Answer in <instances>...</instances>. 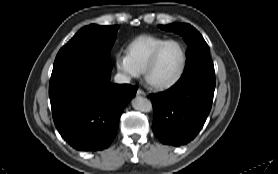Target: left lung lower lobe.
I'll return each mask as SVG.
<instances>
[{
  "label": "left lung lower lobe",
  "instance_id": "0a47b994",
  "mask_svg": "<svg viewBox=\"0 0 278 174\" xmlns=\"http://www.w3.org/2000/svg\"><path fill=\"white\" fill-rule=\"evenodd\" d=\"M214 90L215 77L198 74L180 79L165 92L150 94L155 136L174 146L193 140L210 112Z\"/></svg>",
  "mask_w": 278,
  "mask_h": 174
}]
</instances>
